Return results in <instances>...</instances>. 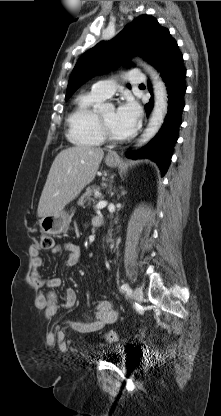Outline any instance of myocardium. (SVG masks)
Listing matches in <instances>:
<instances>
[{"label": "myocardium", "mask_w": 221, "mask_h": 416, "mask_svg": "<svg viewBox=\"0 0 221 416\" xmlns=\"http://www.w3.org/2000/svg\"><path fill=\"white\" fill-rule=\"evenodd\" d=\"M97 120H98V124H99V128H100V132H101L104 140H106L108 142H111V143L118 144V143H123L128 139V137L117 138V137L113 136L109 127L107 126V124L103 120L100 113H97Z\"/></svg>", "instance_id": "1"}]
</instances>
